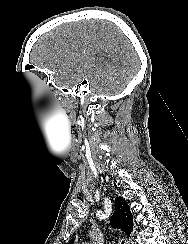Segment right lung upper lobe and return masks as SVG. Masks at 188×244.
<instances>
[{
    "instance_id": "1",
    "label": "right lung upper lobe",
    "mask_w": 188,
    "mask_h": 244,
    "mask_svg": "<svg viewBox=\"0 0 188 244\" xmlns=\"http://www.w3.org/2000/svg\"><path fill=\"white\" fill-rule=\"evenodd\" d=\"M115 212L111 218L112 228H119L121 231L126 232V235L129 236L133 229V220L132 214L129 211V206L124 199L117 197L115 200ZM71 240L68 244H72Z\"/></svg>"
}]
</instances>
